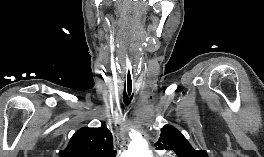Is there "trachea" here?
<instances>
[{
  "mask_svg": "<svg viewBox=\"0 0 264 157\" xmlns=\"http://www.w3.org/2000/svg\"><path fill=\"white\" fill-rule=\"evenodd\" d=\"M123 76H124V90H123V100L125 104H129L134 95V74L132 63L129 53L126 51L124 56L123 64Z\"/></svg>",
  "mask_w": 264,
  "mask_h": 157,
  "instance_id": "3493384b",
  "label": "trachea"
}]
</instances>
